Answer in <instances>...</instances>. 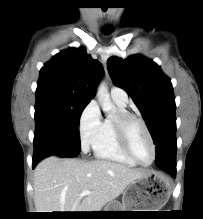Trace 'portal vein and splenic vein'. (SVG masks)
<instances>
[{
    "instance_id": "1",
    "label": "portal vein and splenic vein",
    "mask_w": 203,
    "mask_h": 219,
    "mask_svg": "<svg viewBox=\"0 0 203 219\" xmlns=\"http://www.w3.org/2000/svg\"><path fill=\"white\" fill-rule=\"evenodd\" d=\"M92 192L89 191V190H84L82 193H81V196H85V195H88V194H91Z\"/></svg>"
}]
</instances>
